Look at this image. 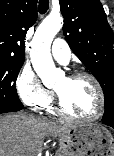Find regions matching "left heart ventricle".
Listing matches in <instances>:
<instances>
[{"label": "left heart ventricle", "instance_id": "left-heart-ventricle-1", "mask_svg": "<svg viewBox=\"0 0 114 156\" xmlns=\"http://www.w3.org/2000/svg\"><path fill=\"white\" fill-rule=\"evenodd\" d=\"M61 96L65 110L77 117H89L98 108L97 92L87 78L63 77L54 88Z\"/></svg>", "mask_w": 114, "mask_h": 156}]
</instances>
